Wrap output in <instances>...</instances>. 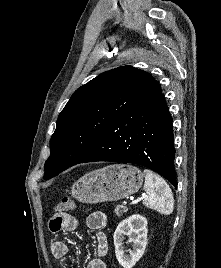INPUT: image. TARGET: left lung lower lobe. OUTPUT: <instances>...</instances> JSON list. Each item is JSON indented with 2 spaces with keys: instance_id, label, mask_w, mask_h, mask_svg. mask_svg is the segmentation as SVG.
<instances>
[{
  "instance_id": "0a47b994",
  "label": "left lung lower lobe",
  "mask_w": 221,
  "mask_h": 268,
  "mask_svg": "<svg viewBox=\"0 0 221 268\" xmlns=\"http://www.w3.org/2000/svg\"><path fill=\"white\" fill-rule=\"evenodd\" d=\"M174 157L172 117L160 92L117 118L78 163H135L154 170L176 187Z\"/></svg>"
}]
</instances>
